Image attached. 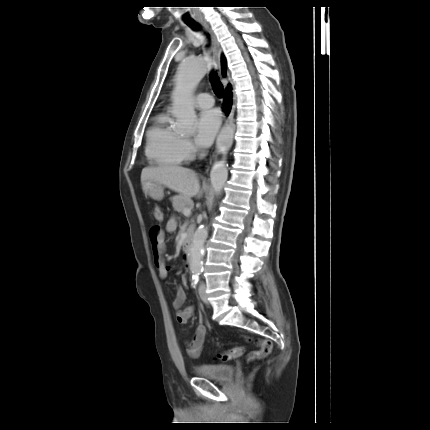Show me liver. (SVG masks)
<instances>
[{
    "mask_svg": "<svg viewBox=\"0 0 430 430\" xmlns=\"http://www.w3.org/2000/svg\"><path fill=\"white\" fill-rule=\"evenodd\" d=\"M146 180L157 181L187 198L202 196L196 173L188 168L175 165L147 167L142 169L141 183Z\"/></svg>",
    "mask_w": 430,
    "mask_h": 430,
    "instance_id": "liver-1",
    "label": "liver"
}]
</instances>
